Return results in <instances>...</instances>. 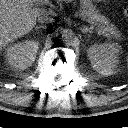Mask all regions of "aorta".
Segmentation results:
<instances>
[{"label": "aorta", "instance_id": "obj_1", "mask_svg": "<svg viewBox=\"0 0 128 128\" xmlns=\"http://www.w3.org/2000/svg\"><path fill=\"white\" fill-rule=\"evenodd\" d=\"M73 38V33L68 30V29H64L61 32V41L65 42V43H69Z\"/></svg>", "mask_w": 128, "mask_h": 128}]
</instances>
